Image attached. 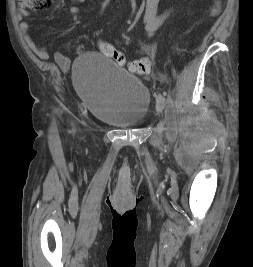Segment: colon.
Returning <instances> with one entry per match:
<instances>
[{"mask_svg":"<svg viewBox=\"0 0 253 267\" xmlns=\"http://www.w3.org/2000/svg\"><path fill=\"white\" fill-rule=\"evenodd\" d=\"M52 0H17V3L26 9L30 10H41L48 7L51 4ZM219 4L216 3L211 10V14L215 15L218 13ZM100 51L114 60L119 65L125 64L124 55L117 50L114 46L107 42H99ZM128 69L136 74H145L148 73L151 69V61L147 57H142L137 60H133L128 63Z\"/></svg>","mask_w":253,"mask_h":267,"instance_id":"1","label":"colon"}]
</instances>
